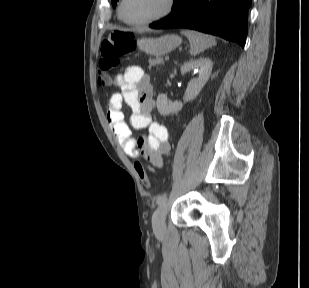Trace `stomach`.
Masks as SVG:
<instances>
[{
	"mask_svg": "<svg viewBox=\"0 0 309 288\" xmlns=\"http://www.w3.org/2000/svg\"><path fill=\"white\" fill-rule=\"evenodd\" d=\"M177 35H165L159 38H142L138 40V47L147 54L161 56L169 53L181 44Z\"/></svg>",
	"mask_w": 309,
	"mask_h": 288,
	"instance_id": "stomach-1",
	"label": "stomach"
}]
</instances>
